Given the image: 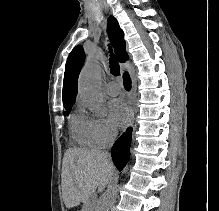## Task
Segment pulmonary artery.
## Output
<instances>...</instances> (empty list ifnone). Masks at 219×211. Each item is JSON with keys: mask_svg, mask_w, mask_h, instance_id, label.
I'll list each match as a JSON object with an SVG mask.
<instances>
[{"mask_svg": "<svg viewBox=\"0 0 219 211\" xmlns=\"http://www.w3.org/2000/svg\"><path fill=\"white\" fill-rule=\"evenodd\" d=\"M105 91L107 94L115 96L121 91V85L117 81H110L105 85Z\"/></svg>", "mask_w": 219, "mask_h": 211, "instance_id": "e3ab8cb5", "label": "pulmonary artery"}]
</instances>
